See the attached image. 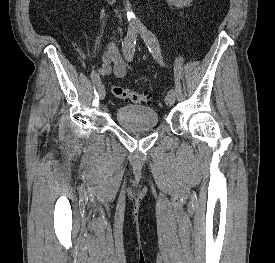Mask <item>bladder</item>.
Returning a JSON list of instances; mask_svg holds the SVG:
<instances>
[{
    "label": "bladder",
    "instance_id": "1",
    "mask_svg": "<svg viewBox=\"0 0 275 263\" xmlns=\"http://www.w3.org/2000/svg\"><path fill=\"white\" fill-rule=\"evenodd\" d=\"M117 122L132 131L154 128L158 124V113L151 107L126 105L116 109Z\"/></svg>",
    "mask_w": 275,
    "mask_h": 263
}]
</instances>
